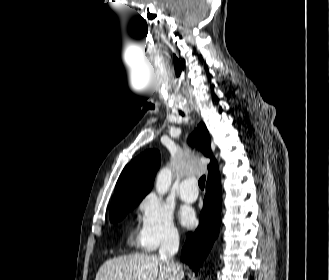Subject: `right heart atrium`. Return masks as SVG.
<instances>
[{
    "instance_id": "1",
    "label": "right heart atrium",
    "mask_w": 329,
    "mask_h": 280,
    "mask_svg": "<svg viewBox=\"0 0 329 280\" xmlns=\"http://www.w3.org/2000/svg\"><path fill=\"white\" fill-rule=\"evenodd\" d=\"M138 210V243L145 250L154 251L161 245L178 240L179 231L173 221L172 211L159 197L148 194L139 203Z\"/></svg>"
}]
</instances>
